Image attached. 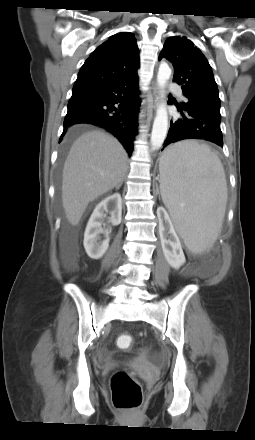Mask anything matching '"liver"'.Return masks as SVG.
Masks as SVG:
<instances>
[{
	"instance_id": "1",
	"label": "liver",
	"mask_w": 255,
	"mask_h": 440,
	"mask_svg": "<svg viewBox=\"0 0 255 440\" xmlns=\"http://www.w3.org/2000/svg\"><path fill=\"white\" fill-rule=\"evenodd\" d=\"M128 155L113 136L99 130L82 134L72 145L62 174V205L72 226L89 202L116 187L127 170ZM167 160L160 163L169 168Z\"/></svg>"
}]
</instances>
